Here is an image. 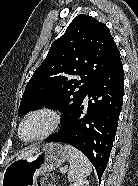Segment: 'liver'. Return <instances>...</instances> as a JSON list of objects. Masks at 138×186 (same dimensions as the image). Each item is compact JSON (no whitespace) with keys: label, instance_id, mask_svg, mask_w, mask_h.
Returning a JSON list of instances; mask_svg holds the SVG:
<instances>
[{"label":"liver","instance_id":"1","mask_svg":"<svg viewBox=\"0 0 138 186\" xmlns=\"http://www.w3.org/2000/svg\"><path fill=\"white\" fill-rule=\"evenodd\" d=\"M32 150H33V149H31V150H29V151L22 152V153L20 154V156H18V157H25V156H27L29 153H31Z\"/></svg>","mask_w":138,"mask_h":186}]
</instances>
